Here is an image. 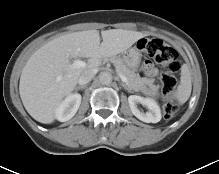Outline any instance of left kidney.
Returning <instances> with one entry per match:
<instances>
[{
	"label": "left kidney",
	"instance_id": "obj_1",
	"mask_svg": "<svg viewBox=\"0 0 219 174\" xmlns=\"http://www.w3.org/2000/svg\"><path fill=\"white\" fill-rule=\"evenodd\" d=\"M128 103L133 115L139 120L146 123H157L161 120L160 107L154 100L137 95H131L128 97ZM137 104L145 106L148 109V112L144 113L140 111Z\"/></svg>",
	"mask_w": 219,
	"mask_h": 174
}]
</instances>
